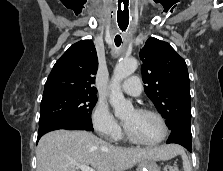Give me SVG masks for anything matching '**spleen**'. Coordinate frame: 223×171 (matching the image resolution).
Returning a JSON list of instances; mask_svg holds the SVG:
<instances>
[{"instance_id":"spleen-1","label":"spleen","mask_w":223,"mask_h":171,"mask_svg":"<svg viewBox=\"0 0 223 171\" xmlns=\"http://www.w3.org/2000/svg\"><path fill=\"white\" fill-rule=\"evenodd\" d=\"M177 153L180 154L182 157L183 170L184 171H192V166H191L190 160H189L188 156L186 155L185 151L181 147H178Z\"/></svg>"}]
</instances>
